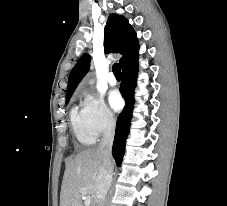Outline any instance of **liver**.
<instances>
[{
    "label": "liver",
    "instance_id": "6515ba94",
    "mask_svg": "<svg viewBox=\"0 0 227 206\" xmlns=\"http://www.w3.org/2000/svg\"><path fill=\"white\" fill-rule=\"evenodd\" d=\"M102 164V155L95 148L82 151L70 160L62 181L60 206H83V195H88L95 206V184ZM83 188L87 194L82 193Z\"/></svg>",
    "mask_w": 227,
    "mask_h": 206
}]
</instances>
